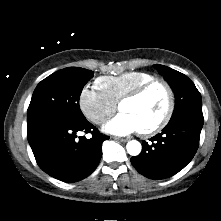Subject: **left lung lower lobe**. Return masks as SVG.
<instances>
[{"mask_svg": "<svg viewBox=\"0 0 221 221\" xmlns=\"http://www.w3.org/2000/svg\"><path fill=\"white\" fill-rule=\"evenodd\" d=\"M202 111H187L173 118L162 132L142 142V152L131 157L135 169L150 179H165L182 170L194 157L203 127Z\"/></svg>", "mask_w": 221, "mask_h": 221, "instance_id": "1", "label": "left lung lower lobe"}]
</instances>
